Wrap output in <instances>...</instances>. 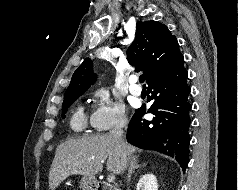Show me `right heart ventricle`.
<instances>
[{
    "instance_id": "obj_1",
    "label": "right heart ventricle",
    "mask_w": 238,
    "mask_h": 190,
    "mask_svg": "<svg viewBox=\"0 0 238 190\" xmlns=\"http://www.w3.org/2000/svg\"><path fill=\"white\" fill-rule=\"evenodd\" d=\"M70 125L75 131H82L86 126V116L82 110V108H78L73 114Z\"/></svg>"
}]
</instances>
